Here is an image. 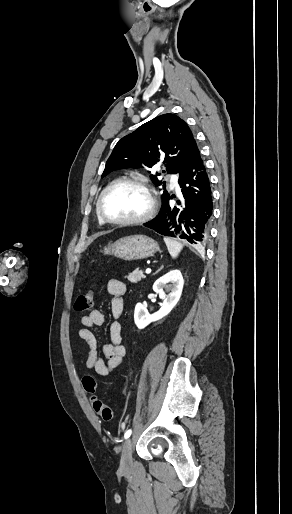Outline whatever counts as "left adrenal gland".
<instances>
[{"label":"left adrenal gland","instance_id":"1","mask_svg":"<svg viewBox=\"0 0 292 514\" xmlns=\"http://www.w3.org/2000/svg\"><path fill=\"white\" fill-rule=\"evenodd\" d=\"M160 270H162V268H159V270H157V272H160ZM157 272H155V274H157Z\"/></svg>","mask_w":292,"mask_h":514}]
</instances>
